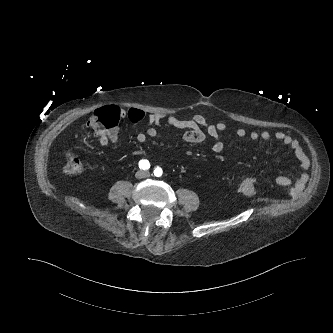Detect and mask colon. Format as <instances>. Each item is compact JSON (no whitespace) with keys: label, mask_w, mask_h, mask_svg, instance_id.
<instances>
[{"label":"colon","mask_w":333,"mask_h":333,"mask_svg":"<svg viewBox=\"0 0 333 333\" xmlns=\"http://www.w3.org/2000/svg\"><path fill=\"white\" fill-rule=\"evenodd\" d=\"M120 119V110L116 106H105L97 109L89 118L87 124L89 128L96 134H108L117 128ZM83 165L80 157L76 152L70 151L66 154L64 171L68 174H80ZM240 191L247 195L253 196L256 193L254 177L244 178L239 185Z\"/></svg>","instance_id":"colon-1"}]
</instances>
